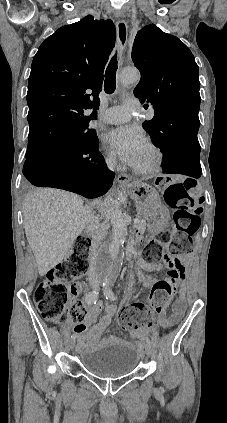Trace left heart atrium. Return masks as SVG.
<instances>
[{"label":"left heart atrium","instance_id":"1","mask_svg":"<svg viewBox=\"0 0 227 423\" xmlns=\"http://www.w3.org/2000/svg\"><path fill=\"white\" fill-rule=\"evenodd\" d=\"M107 142L120 158L128 165L136 166L147 141L134 128H120L111 131Z\"/></svg>","mask_w":227,"mask_h":423}]
</instances>
